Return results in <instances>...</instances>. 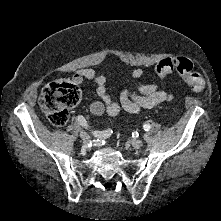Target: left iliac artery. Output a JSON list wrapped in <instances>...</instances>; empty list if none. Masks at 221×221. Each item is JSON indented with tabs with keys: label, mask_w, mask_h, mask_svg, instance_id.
I'll return each mask as SVG.
<instances>
[{
	"label": "left iliac artery",
	"mask_w": 221,
	"mask_h": 221,
	"mask_svg": "<svg viewBox=\"0 0 221 221\" xmlns=\"http://www.w3.org/2000/svg\"><path fill=\"white\" fill-rule=\"evenodd\" d=\"M143 128H144L145 131H148L151 127H150L149 124H144Z\"/></svg>",
	"instance_id": "1"
}]
</instances>
